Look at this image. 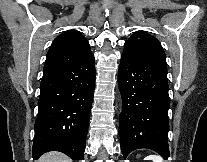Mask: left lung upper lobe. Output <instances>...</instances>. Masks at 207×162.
Listing matches in <instances>:
<instances>
[{
  "label": "left lung upper lobe",
  "mask_w": 207,
  "mask_h": 162,
  "mask_svg": "<svg viewBox=\"0 0 207 162\" xmlns=\"http://www.w3.org/2000/svg\"><path fill=\"white\" fill-rule=\"evenodd\" d=\"M122 55L167 69L166 56L159 41L144 32H135L124 44Z\"/></svg>",
  "instance_id": "5c2ea615"
}]
</instances>
